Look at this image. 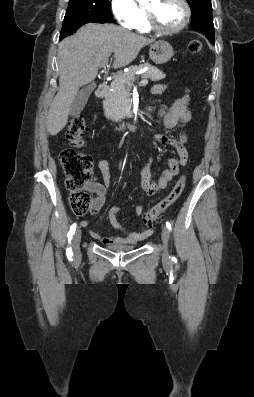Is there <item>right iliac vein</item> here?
I'll list each match as a JSON object with an SVG mask.
<instances>
[{"instance_id":"right-iliac-vein-1","label":"right iliac vein","mask_w":254,"mask_h":397,"mask_svg":"<svg viewBox=\"0 0 254 397\" xmlns=\"http://www.w3.org/2000/svg\"><path fill=\"white\" fill-rule=\"evenodd\" d=\"M80 242H81V230L78 229L74 234L73 242H72V249L75 260L79 259L81 256Z\"/></svg>"}]
</instances>
